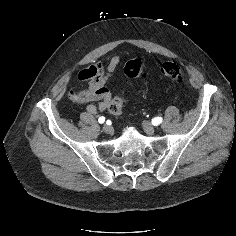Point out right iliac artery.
<instances>
[{
	"mask_svg": "<svg viewBox=\"0 0 236 236\" xmlns=\"http://www.w3.org/2000/svg\"><path fill=\"white\" fill-rule=\"evenodd\" d=\"M98 122L100 124L104 123L105 122V117L101 116L99 119H98Z\"/></svg>",
	"mask_w": 236,
	"mask_h": 236,
	"instance_id": "82829eb1",
	"label": "right iliac artery"
}]
</instances>
